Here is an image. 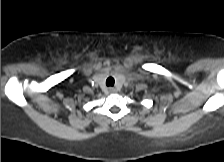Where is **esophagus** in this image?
I'll return each mask as SVG.
<instances>
[{
	"label": "esophagus",
	"mask_w": 224,
	"mask_h": 162,
	"mask_svg": "<svg viewBox=\"0 0 224 162\" xmlns=\"http://www.w3.org/2000/svg\"><path fill=\"white\" fill-rule=\"evenodd\" d=\"M108 91H109V93H116L117 92V90L115 89V88H113V87H109L108 88Z\"/></svg>",
	"instance_id": "34e87169"
}]
</instances>
